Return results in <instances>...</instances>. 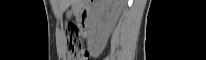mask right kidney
Listing matches in <instances>:
<instances>
[{
    "mask_svg": "<svg viewBox=\"0 0 206 60\" xmlns=\"http://www.w3.org/2000/svg\"><path fill=\"white\" fill-rule=\"evenodd\" d=\"M103 10L109 11L108 22L106 25L99 23V13ZM121 13V4L117 1L103 0L96 5L91 21V43L102 49L108 40L109 34L112 31L118 17ZM99 32V36H95Z\"/></svg>",
    "mask_w": 206,
    "mask_h": 60,
    "instance_id": "1",
    "label": "right kidney"
}]
</instances>
